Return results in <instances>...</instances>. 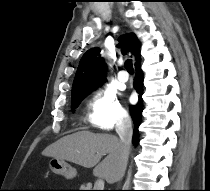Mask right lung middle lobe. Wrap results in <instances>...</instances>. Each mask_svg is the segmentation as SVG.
I'll return each instance as SVG.
<instances>
[{
	"label": "right lung middle lobe",
	"mask_w": 210,
	"mask_h": 191,
	"mask_svg": "<svg viewBox=\"0 0 210 191\" xmlns=\"http://www.w3.org/2000/svg\"><path fill=\"white\" fill-rule=\"evenodd\" d=\"M90 92L88 93H85L83 95H80L74 99H72V111H74L78 106L79 104L81 103V101L89 94Z\"/></svg>",
	"instance_id": "1"
}]
</instances>
